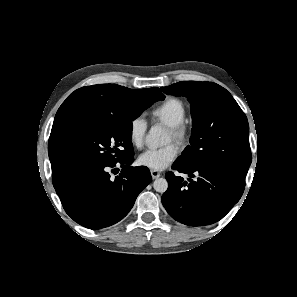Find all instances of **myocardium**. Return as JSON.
<instances>
[{"label": "myocardium", "instance_id": "f54148a6", "mask_svg": "<svg viewBox=\"0 0 297 297\" xmlns=\"http://www.w3.org/2000/svg\"><path fill=\"white\" fill-rule=\"evenodd\" d=\"M172 140L179 145H184L188 140V130L184 123L169 127Z\"/></svg>", "mask_w": 297, "mask_h": 297}]
</instances>
